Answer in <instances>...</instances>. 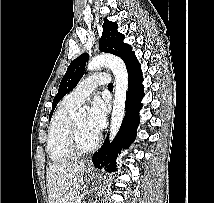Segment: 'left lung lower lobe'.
Wrapping results in <instances>:
<instances>
[{
    "label": "left lung lower lobe",
    "mask_w": 214,
    "mask_h": 203,
    "mask_svg": "<svg viewBox=\"0 0 214 203\" xmlns=\"http://www.w3.org/2000/svg\"><path fill=\"white\" fill-rule=\"evenodd\" d=\"M128 71V93L126 97V114L120 130L112 143L108 137L100 150L92 157L95 167L105 166L109 172L116 171V158L121 153V149L127 148L136 137V130L139 125V111L142 108L141 99L143 93V77L141 66L135 55L126 64ZM107 155V156H106Z\"/></svg>",
    "instance_id": "0a47b994"
}]
</instances>
